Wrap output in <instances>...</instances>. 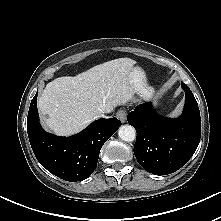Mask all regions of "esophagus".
Segmentation results:
<instances>
[{
    "mask_svg": "<svg viewBox=\"0 0 221 221\" xmlns=\"http://www.w3.org/2000/svg\"><path fill=\"white\" fill-rule=\"evenodd\" d=\"M126 116H127V111L125 109H120L118 110V112L116 113V117L122 122L125 123L126 122Z\"/></svg>",
    "mask_w": 221,
    "mask_h": 221,
    "instance_id": "34e87169",
    "label": "esophagus"
}]
</instances>
